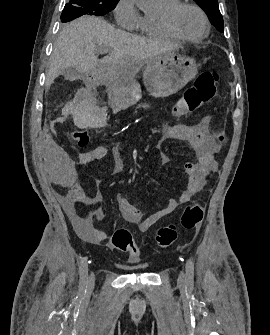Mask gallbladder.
Masks as SVG:
<instances>
[{
	"instance_id": "1",
	"label": "gallbladder",
	"mask_w": 270,
	"mask_h": 335,
	"mask_svg": "<svg viewBox=\"0 0 270 335\" xmlns=\"http://www.w3.org/2000/svg\"><path fill=\"white\" fill-rule=\"evenodd\" d=\"M63 74L65 76V80H70V82L87 78L86 72H80V70H77V68H73V66H70V68H65Z\"/></svg>"
}]
</instances>
